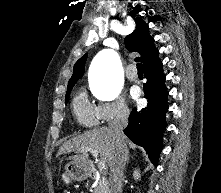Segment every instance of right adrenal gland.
<instances>
[{
    "label": "right adrenal gland",
    "instance_id": "1",
    "mask_svg": "<svg viewBox=\"0 0 221 193\" xmlns=\"http://www.w3.org/2000/svg\"><path fill=\"white\" fill-rule=\"evenodd\" d=\"M130 157H132V156H130V155L128 154V156H127V160H126V164L129 163V159H130Z\"/></svg>",
    "mask_w": 221,
    "mask_h": 193
}]
</instances>
